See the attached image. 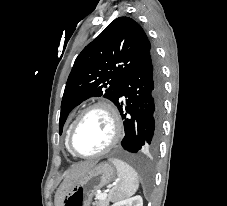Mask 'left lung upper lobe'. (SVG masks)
<instances>
[{
  "mask_svg": "<svg viewBox=\"0 0 227 206\" xmlns=\"http://www.w3.org/2000/svg\"><path fill=\"white\" fill-rule=\"evenodd\" d=\"M151 52L136 21L129 17L112 21L75 60L62 98L60 134L69 112L89 97L103 96L116 104L124 79Z\"/></svg>",
  "mask_w": 227,
  "mask_h": 206,
  "instance_id": "1",
  "label": "left lung upper lobe"
}]
</instances>
